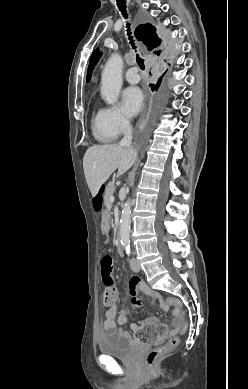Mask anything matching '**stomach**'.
Wrapping results in <instances>:
<instances>
[{
	"instance_id": "1",
	"label": "stomach",
	"mask_w": 248,
	"mask_h": 389,
	"mask_svg": "<svg viewBox=\"0 0 248 389\" xmlns=\"http://www.w3.org/2000/svg\"><path fill=\"white\" fill-rule=\"evenodd\" d=\"M101 221L100 224L102 225L100 233L102 235H109L111 233V227L109 225L112 224V221L114 219V214L110 213L109 207H103L101 209Z\"/></svg>"
}]
</instances>
